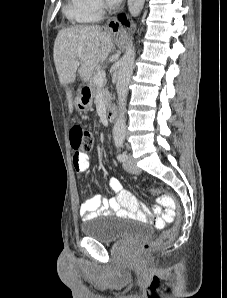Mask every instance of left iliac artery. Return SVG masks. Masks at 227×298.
<instances>
[{"label":"left iliac artery","instance_id":"left-iliac-artery-1","mask_svg":"<svg viewBox=\"0 0 227 298\" xmlns=\"http://www.w3.org/2000/svg\"><path fill=\"white\" fill-rule=\"evenodd\" d=\"M123 142H124V138L122 137L115 138V146L118 150H120V148L123 146ZM117 159L119 161H125L127 159L126 152L119 153L117 155Z\"/></svg>","mask_w":227,"mask_h":298}]
</instances>
